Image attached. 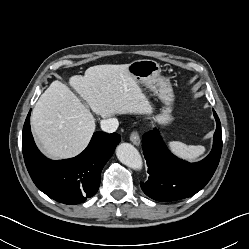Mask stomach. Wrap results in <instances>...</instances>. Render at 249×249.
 I'll list each match as a JSON object with an SVG mask.
<instances>
[{"label": "stomach", "instance_id": "obj_1", "mask_svg": "<svg viewBox=\"0 0 249 249\" xmlns=\"http://www.w3.org/2000/svg\"><path fill=\"white\" fill-rule=\"evenodd\" d=\"M128 73L141 85L152 91L164 104L160 114L154 117V121L161 125H167L172 121L171 104L174 99L170 81L161 75L159 63L154 60L140 59L127 64Z\"/></svg>", "mask_w": 249, "mask_h": 249}]
</instances>
